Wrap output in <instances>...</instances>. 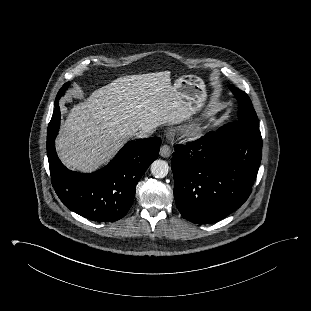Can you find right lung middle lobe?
I'll list each match as a JSON object with an SVG mask.
<instances>
[{
    "mask_svg": "<svg viewBox=\"0 0 311 311\" xmlns=\"http://www.w3.org/2000/svg\"><path fill=\"white\" fill-rule=\"evenodd\" d=\"M68 86H69V83L67 82V83H65V84L63 85V87L59 90V92H58V94H57V97H56L55 103H58V100L60 99V97H61L62 95H64V91L67 89Z\"/></svg>",
    "mask_w": 311,
    "mask_h": 311,
    "instance_id": "right-lung-middle-lobe-1",
    "label": "right lung middle lobe"
}]
</instances>
